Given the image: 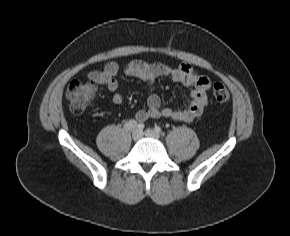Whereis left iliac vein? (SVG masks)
<instances>
[{"label": "left iliac vein", "instance_id": "obj_1", "mask_svg": "<svg viewBox=\"0 0 290 236\" xmlns=\"http://www.w3.org/2000/svg\"><path fill=\"white\" fill-rule=\"evenodd\" d=\"M145 136L149 137V138H153V139H159L160 138V135L158 132H156L155 130L153 129H146L145 132H144Z\"/></svg>", "mask_w": 290, "mask_h": 236}]
</instances>
